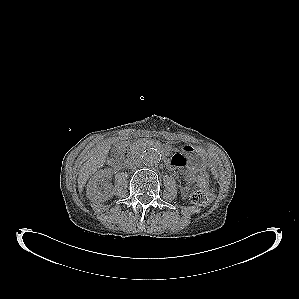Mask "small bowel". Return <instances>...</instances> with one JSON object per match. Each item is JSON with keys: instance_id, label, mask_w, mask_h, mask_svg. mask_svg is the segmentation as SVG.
I'll use <instances>...</instances> for the list:
<instances>
[{"instance_id": "1", "label": "small bowel", "mask_w": 299, "mask_h": 299, "mask_svg": "<svg viewBox=\"0 0 299 299\" xmlns=\"http://www.w3.org/2000/svg\"><path fill=\"white\" fill-rule=\"evenodd\" d=\"M169 165L178 168L182 171L185 180L188 183L193 182L194 180V173L193 171L187 166L186 159L181 154H175L169 161Z\"/></svg>"}]
</instances>
